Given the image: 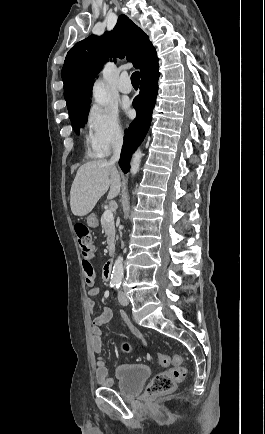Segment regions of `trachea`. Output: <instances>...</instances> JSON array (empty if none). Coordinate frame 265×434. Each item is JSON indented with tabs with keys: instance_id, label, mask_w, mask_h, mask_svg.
Wrapping results in <instances>:
<instances>
[{
	"instance_id": "3493384b",
	"label": "trachea",
	"mask_w": 265,
	"mask_h": 434,
	"mask_svg": "<svg viewBox=\"0 0 265 434\" xmlns=\"http://www.w3.org/2000/svg\"><path fill=\"white\" fill-rule=\"evenodd\" d=\"M131 82H132V84H139L140 83L139 72L132 73Z\"/></svg>"
}]
</instances>
